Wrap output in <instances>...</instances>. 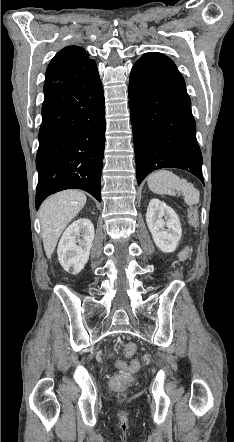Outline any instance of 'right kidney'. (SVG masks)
<instances>
[{
    "label": "right kidney",
    "mask_w": 234,
    "mask_h": 442,
    "mask_svg": "<svg viewBox=\"0 0 234 442\" xmlns=\"http://www.w3.org/2000/svg\"><path fill=\"white\" fill-rule=\"evenodd\" d=\"M94 239V226L87 218L74 221L63 233L57 249L61 266L78 274L86 265Z\"/></svg>",
    "instance_id": "right-kidney-1"
}]
</instances>
